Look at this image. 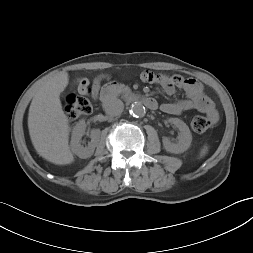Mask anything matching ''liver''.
<instances>
[{
	"label": "liver",
	"instance_id": "obj_1",
	"mask_svg": "<svg viewBox=\"0 0 253 253\" xmlns=\"http://www.w3.org/2000/svg\"><path fill=\"white\" fill-rule=\"evenodd\" d=\"M67 72H59L36 91L29 107L28 129L37 153L56 165L74 161L69 147L70 127L59 95L68 85Z\"/></svg>",
	"mask_w": 253,
	"mask_h": 253
}]
</instances>
